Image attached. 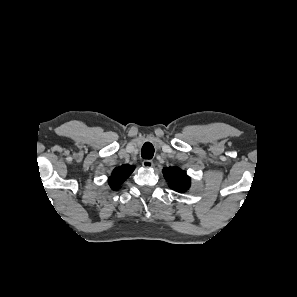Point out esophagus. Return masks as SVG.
Returning <instances> with one entry per match:
<instances>
[{"mask_svg": "<svg viewBox=\"0 0 297 297\" xmlns=\"http://www.w3.org/2000/svg\"><path fill=\"white\" fill-rule=\"evenodd\" d=\"M154 163L152 160H144L142 162V166L145 167V168H150V167H153Z\"/></svg>", "mask_w": 297, "mask_h": 297, "instance_id": "esophagus-1", "label": "esophagus"}]
</instances>
